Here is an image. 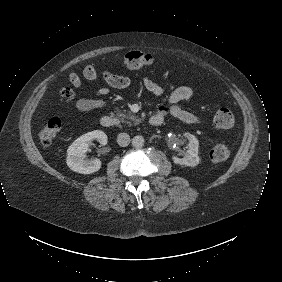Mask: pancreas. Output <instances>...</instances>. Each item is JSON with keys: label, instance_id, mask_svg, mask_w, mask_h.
<instances>
[{"label": "pancreas", "instance_id": "1", "mask_svg": "<svg viewBox=\"0 0 282 282\" xmlns=\"http://www.w3.org/2000/svg\"><path fill=\"white\" fill-rule=\"evenodd\" d=\"M116 115L120 119V121L124 124H131V121L134 122L135 125H138L139 123L143 122V118H138L134 116L130 111L127 110H116Z\"/></svg>", "mask_w": 282, "mask_h": 282}]
</instances>
